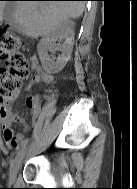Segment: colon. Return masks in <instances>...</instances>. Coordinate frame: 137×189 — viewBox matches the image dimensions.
I'll use <instances>...</instances> for the list:
<instances>
[{
	"label": "colon",
	"instance_id": "obj_1",
	"mask_svg": "<svg viewBox=\"0 0 137 189\" xmlns=\"http://www.w3.org/2000/svg\"><path fill=\"white\" fill-rule=\"evenodd\" d=\"M0 61L5 63L0 68V104L11 99L28 79L30 69L36 61L25 56L19 38L5 30H0ZM32 98L27 104L31 105Z\"/></svg>",
	"mask_w": 137,
	"mask_h": 189
}]
</instances>
